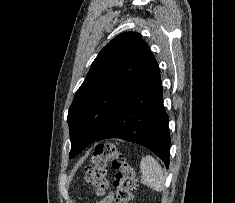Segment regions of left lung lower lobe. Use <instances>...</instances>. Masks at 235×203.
<instances>
[{
    "label": "left lung lower lobe",
    "instance_id": "1",
    "mask_svg": "<svg viewBox=\"0 0 235 203\" xmlns=\"http://www.w3.org/2000/svg\"><path fill=\"white\" fill-rule=\"evenodd\" d=\"M162 91L160 69L155 60L100 135L95 136L86 129L77 133V137L82 139L79 150L94 141L119 138L148 148L168 168L171 138Z\"/></svg>",
    "mask_w": 235,
    "mask_h": 203
}]
</instances>
